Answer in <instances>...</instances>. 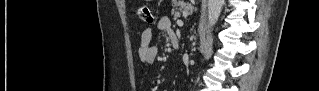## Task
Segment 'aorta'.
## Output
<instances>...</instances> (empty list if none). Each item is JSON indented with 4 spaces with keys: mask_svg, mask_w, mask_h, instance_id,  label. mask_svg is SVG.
I'll return each instance as SVG.
<instances>
[{
    "mask_svg": "<svg viewBox=\"0 0 319 91\" xmlns=\"http://www.w3.org/2000/svg\"><path fill=\"white\" fill-rule=\"evenodd\" d=\"M224 2V0H208V27L216 24Z\"/></svg>",
    "mask_w": 319,
    "mask_h": 91,
    "instance_id": "762f6f07",
    "label": "aorta"
}]
</instances>
